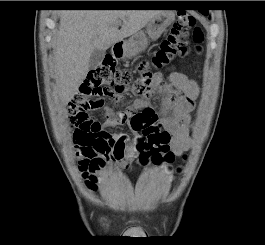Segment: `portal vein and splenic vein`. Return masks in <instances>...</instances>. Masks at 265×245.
Listing matches in <instances>:
<instances>
[{
    "instance_id": "obj_1",
    "label": "portal vein and splenic vein",
    "mask_w": 265,
    "mask_h": 245,
    "mask_svg": "<svg viewBox=\"0 0 265 245\" xmlns=\"http://www.w3.org/2000/svg\"><path fill=\"white\" fill-rule=\"evenodd\" d=\"M121 25V21L117 22V26H120Z\"/></svg>"
}]
</instances>
